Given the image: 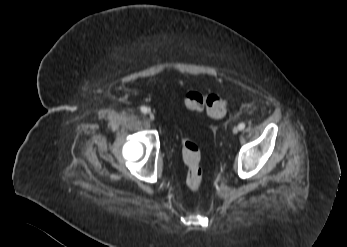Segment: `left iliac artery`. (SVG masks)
Returning <instances> with one entry per match:
<instances>
[{
    "mask_svg": "<svg viewBox=\"0 0 347 247\" xmlns=\"http://www.w3.org/2000/svg\"><path fill=\"white\" fill-rule=\"evenodd\" d=\"M238 128H239L240 130H243V129L245 128V123H240V124L238 125Z\"/></svg>",
    "mask_w": 347,
    "mask_h": 247,
    "instance_id": "1",
    "label": "left iliac artery"
}]
</instances>
